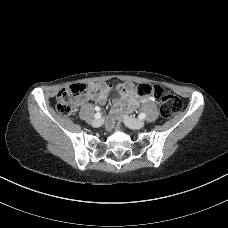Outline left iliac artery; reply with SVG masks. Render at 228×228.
Instances as JSON below:
<instances>
[{"label":"left iliac artery","mask_w":228,"mask_h":228,"mask_svg":"<svg viewBox=\"0 0 228 228\" xmlns=\"http://www.w3.org/2000/svg\"><path fill=\"white\" fill-rule=\"evenodd\" d=\"M145 117H146V114H145V113L139 114V118H140V119H144Z\"/></svg>","instance_id":"left-iliac-artery-1"}]
</instances>
